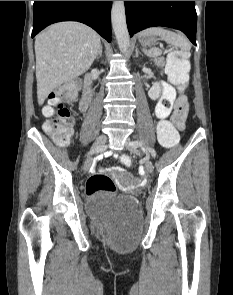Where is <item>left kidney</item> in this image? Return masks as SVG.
Masks as SVG:
<instances>
[{"label":"left kidney","instance_id":"1","mask_svg":"<svg viewBox=\"0 0 233 295\" xmlns=\"http://www.w3.org/2000/svg\"><path fill=\"white\" fill-rule=\"evenodd\" d=\"M160 94H161V87H160L159 83L156 82L153 84V86L149 90L148 96L152 100H157L159 98Z\"/></svg>","mask_w":233,"mask_h":295}]
</instances>
